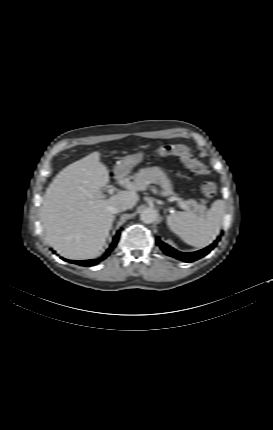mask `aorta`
Instances as JSON below:
<instances>
[{"instance_id":"1","label":"aorta","mask_w":273,"mask_h":430,"mask_svg":"<svg viewBox=\"0 0 273 430\" xmlns=\"http://www.w3.org/2000/svg\"><path fill=\"white\" fill-rule=\"evenodd\" d=\"M158 218V212L154 208H146L140 214V219L146 224H151Z\"/></svg>"}]
</instances>
